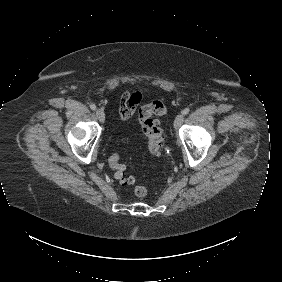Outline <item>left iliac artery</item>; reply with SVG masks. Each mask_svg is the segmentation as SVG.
I'll return each mask as SVG.
<instances>
[{
  "label": "left iliac artery",
  "instance_id": "left-iliac-artery-1",
  "mask_svg": "<svg viewBox=\"0 0 282 282\" xmlns=\"http://www.w3.org/2000/svg\"><path fill=\"white\" fill-rule=\"evenodd\" d=\"M189 112H190V109H189V108H185V109L182 111V114L187 115Z\"/></svg>",
  "mask_w": 282,
  "mask_h": 282
}]
</instances>
